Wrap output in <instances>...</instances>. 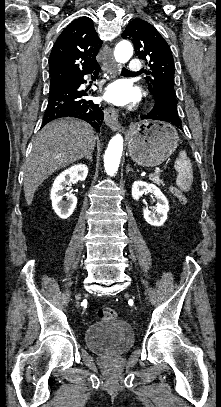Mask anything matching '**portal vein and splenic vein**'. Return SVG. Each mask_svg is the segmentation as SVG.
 <instances>
[{"instance_id": "obj_1", "label": "portal vein and splenic vein", "mask_w": 221, "mask_h": 407, "mask_svg": "<svg viewBox=\"0 0 221 407\" xmlns=\"http://www.w3.org/2000/svg\"><path fill=\"white\" fill-rule=\"evenodd\" d=\"M162 171H163V170H161L160 168L156 167L155 170H154V173H155V174H158V173H160V172H162Z\"/></svg>"}]
</instances>
